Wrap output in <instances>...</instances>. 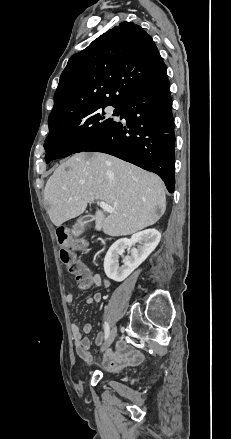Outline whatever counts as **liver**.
<instances>
[{
  "mask_svg": "<svg viewBox=\"0 0 231 439\" xmlns=\"http://www.w3.org/2000/svg\"><path fill=\"white\" fill-rule=\"evenodd\" d=\"M100 200L115 209L97 210L95 229L127 236L153 225L165 212L164 183L157 175L104 153H77L48 179L44 203L55 226L82 214Z\"/></svg>",
  "mask_w": 231,
  "mask_h": 439,
  "instance_id": "1",
  "label": "liver"
}]
</instances>
